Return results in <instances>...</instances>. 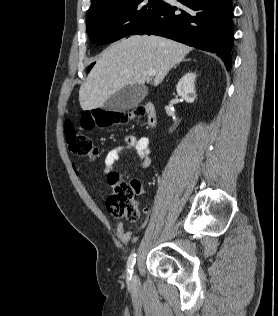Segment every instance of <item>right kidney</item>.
<instances>
[{
    "label": "right kidney",
    "mask_w": 278,
    "mask_h": 316,
    "mask_svg": "<svg viewBox=\"0 0 278 316\" xmlns=\"http://www.w3.org/2000/svg\"><path fill=\"white\" fill-rule=\"evenodd\" d=\"M195 79L196 74L189 72L179 80L176 86L177 94L188 103H192L196 98Z\"/></svg>",
    "instance_id": "obj_1"
}]
</instances>
